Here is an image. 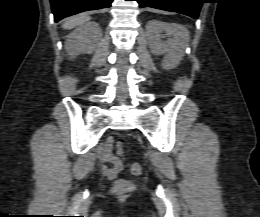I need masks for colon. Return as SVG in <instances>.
Returning a JSON list of instances; mask_svg holds the SVG:
<instances>
[{"instance_id":"obj_1","label":"colon","mask_w":260,"mask_h":217,"mask_svg":"<svg viewBox=\"0 0 260 217\" xmlns=\"http://www.w3.org/2000/svg\"><path fill=\"white\" fill-rule=\"evenodd\" d=\"M142 171V166L138 162H133L130 165V172L134 175L140 174ZM129 188V184L126 180L119 179L114 184V189L117 192H123L126 191Z\"/></svg>"}]
</instances>
